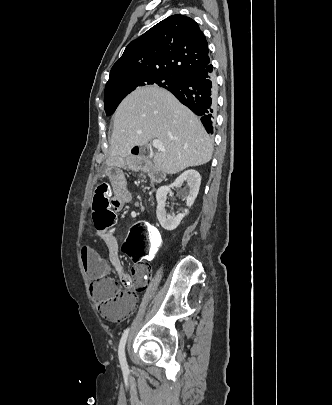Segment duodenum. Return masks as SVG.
I'll list each match as a JSON object with an SVG mask.
<instances>
[{
	"label": "duodenum",
	"mask_w": 332,
	"mask_h": 405,
	"mask_svg": "<svg viewBox=\"0 0 332 405\" xmlns=\"http://www.w3.org/2000/svg\"><path fill=\"white\" fill-rule=\"evenodd\" d=\"M138 153L133 152V155H137ZM151 178L154 182L156 183H160L164 180L163 176L159 173L156 172H152L151 173Z\"/></svg>",
	"instance_id": "duodenum-1"
}]
</instances>
